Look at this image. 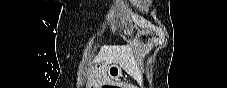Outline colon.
<instances>
[{
	"mask_svg": "<svg viewBox=\"0 0 227 88\" xmlns=\"http://www.w3.org/2000/svg\"><path fill=\"white\" fill-rule=\"evenodd\" d=\"M103 87H104V88H114V87H116V86L111 85V84H106V85H104ZM125 87H131V86H125Z\"/></svg>",
	"mask_w": 227,
	"mask_h": 88,
	"instance_id": "colon-1",
	"label": "colon"
}]
</instances>
